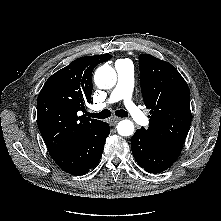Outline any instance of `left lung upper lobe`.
Returning <instances> with one entry per match:
<instances>
[{
    "label": "left lung upper lobe",
    "instance_id": "5c2ea615",
    "mask_svg": "<svg viewBox=\"0 0 221 221\" xmlns=\"http://www.w3.org/2000/svg\"><path fill=\"white\" fill-rule=\"evenodd\" d=\"M143 101L150 109L149 128L140 130L165 148L181 151L191 124L187 83L170 63L139 56Z\"/></svg>",
    "mask_w": 221,
    "mask_h": 221
}]
</instances>
